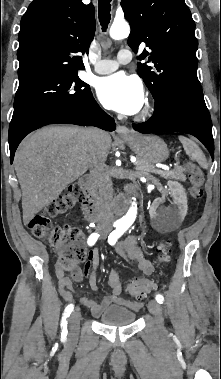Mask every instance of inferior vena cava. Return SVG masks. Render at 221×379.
Returning <instances> with one entry per match:
<instances>
[{
  "label": "inferior vena cava",
  "instance_id": "602c4592",
  "mask_svg": "<svg viewBox=\"0 0 221 379\" xmlns=\"http://www.w3.org/2000/svg\"><path fill=\"white\" fill-rule=\"evenodd\" d=\"M85 133L88 139L93 143V153L91 154L89 162L90 175L97 185L99 194L104 202V211L100 220V228L108 229L114 221L110 206V202L113 198V186L105 161H103L96 152V146L102 135V131L96 128H90L87 129Z\"/></svg>",
  "mask_w": 221,
  "mask_h": 379
}]
</instances>
